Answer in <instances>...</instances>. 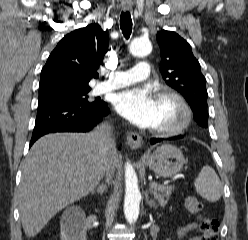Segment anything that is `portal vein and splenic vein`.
Returning <instances> with one entry per match:
<instances>
[{
  "mask_svg": "<svg viewBox=\"0 0 248 240\" xmlns=\"http://www.w3.org/2000/svg\"><path fill=\"white\" fill-rule=\"evenodd\" d=\"M149 186H150V188H157V187H159L160 185H159L158 183H156V182L151 181V182L149 183Z\"/></svg>",
  "mask_w": 248,
  "mask_h": 240,
  "instance_id": "portal-vein-and-splenic-vein-1",
  "label": "portal vein and splenic vein"
}]
</instances>
